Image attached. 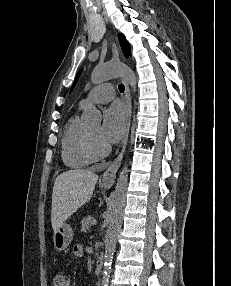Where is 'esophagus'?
I'll return each mask as SVG.
<instances>
[{"label": "esophagus", "instance_id": "esophagus-1", "mask_svg": "<svg viewBox=\"0 0 231 286\" xmlns=\"http://www.w3.org/2000/svg\"><path fill=\"white\" fill-rule=\"evenodd\" d=\"M124 84H125V102L128 108V124H127L125 137L122 142V148H121L120 153L118 154V156L114 159V161L110 164V166L106 169V171L102 175V184L106 186H112L113 183L115 182L116 172L123 159L127 141H128V136H129L131 115H132V103H131L130 89H129V86L126 80L124 81Z\"/></svg>", "mask_w": 231, "mask_h": 286}]
</instances>
